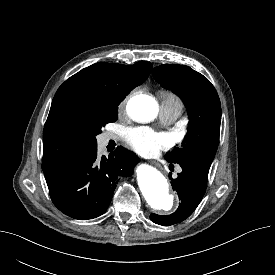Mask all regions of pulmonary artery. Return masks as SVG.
Wrapping results in <instances>:
<instances>
[{
    "label": "pulmonary artery",
    "instance_id": "e3ab8cb5",
    "mask_svg": "<svg viewBox=\"0 0 275 275\" xmlns=\"http://www.w3.org/2000/svg\"><path fill=\"white\" fill-rule=\"evenodd\" d=\"M182 108L179 106L169 105V104H162L161 111H160V118L163 123L169 124L175 121L181 113ZM113 136L108 135L107 139H111Z\"/></svg>",
    "mask_w": 275,
    "mask_h": 275
}]
</instances>
